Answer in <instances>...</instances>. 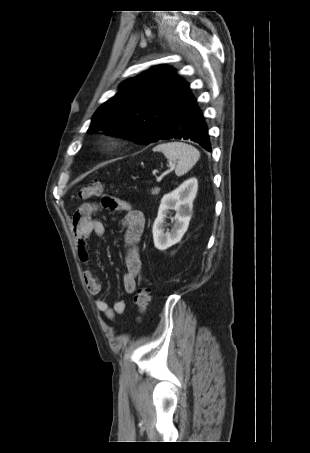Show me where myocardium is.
Instances as JSON below:
<instances>
[{"label":"myocardium","instance_id":"myocardium-1","mask_svg":"<svg viewBox=\"0 0 310 453\" xmlns=\"http://www.w3.org/2000/svg\"><path fill=\"white\" fill-rule=\"evenodd\" d=\"M117 145H118L117 140L113 137H108L103 142V146L106 150L114 149L117 147Z\"/></svg>","mask_w":310,"mask_h":453}]
</instances>
